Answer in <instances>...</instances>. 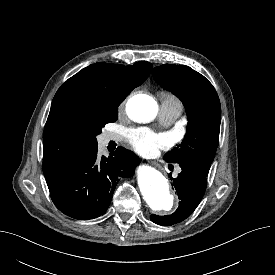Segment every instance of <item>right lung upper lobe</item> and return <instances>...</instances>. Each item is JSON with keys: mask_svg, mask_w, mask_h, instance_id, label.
Listing matches in <instances>:
<instances>
[{"mask_svg": "<svg viewBox=\"0 0 275 275\" xmlns=\"http://www.w3.org/2000/svg\"><path fill=\"white\" fill-rule=\"evenodd\" d=\"M151 69L149 62L131 66L95 63L69 78L58 89L43 133L42 169L45 177L88 149L82 137L70 129L69 118L117 109L126 96L146 80Z\"/></svg>", "mask_w": 275, "mask_h": 275, "instance_id": "1", "label": "right lung upper lobe"}]
</instances>
